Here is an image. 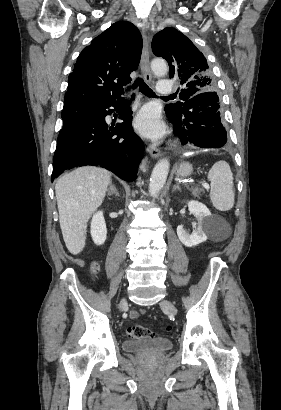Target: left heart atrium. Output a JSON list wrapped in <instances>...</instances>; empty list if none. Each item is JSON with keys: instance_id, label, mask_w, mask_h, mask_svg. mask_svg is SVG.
I'll return each instance as SVG.
<instances>
[{"instance_id": "39dd6f15", "label": "left heart atrium", "mask_w": 281, "mask_h": 410, "mask_svg": "<svg viewBox=\"0 0 281 410\" xmlns=\"http://www.w3.org/2000/svg\"><path fill=\"white\" fill-rule=\"evenodd\" d=\"M135 128L150 138H160L165 132V126L158 111L153 107H145L137 115Z\"/></svg>"}]
</instances>
